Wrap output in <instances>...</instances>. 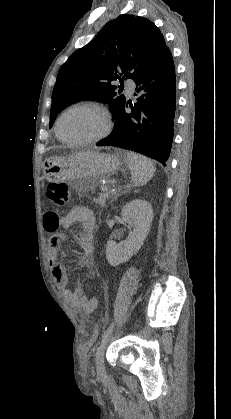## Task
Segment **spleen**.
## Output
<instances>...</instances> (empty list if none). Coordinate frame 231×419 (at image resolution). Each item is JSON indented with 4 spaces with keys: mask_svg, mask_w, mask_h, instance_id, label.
Wrapping results in <instances>:
<instances>
[{
    "mask_svg": "<svg viewBox=\"0 0 231 419\" xmlns=\"http://www.w3.org/2000/svg\"><path fill=\"white\" fill-rule=\"evenodd\" d=\"M127 161L134 186H143L154 176L156 167L149 158L127 152Z\"/></svg>",
    "mask_w": 231,
    "mask_h": 419,
    "instance_id": "obj_1",
    "label": "spleen"
}]
</instances>
